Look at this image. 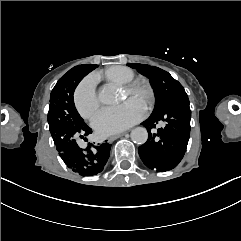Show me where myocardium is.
<instances>
[{
	"mask_svg": "<svg viewBox=\"0 0 241 241\" xmlns=\"http://www.w3.org/2000/svg\"><path fill=\"white\" fill-rule=\"evenodd\" d=\"M141 78H142V73H137V76H136V80H130L129 82H127L124 86L126 89L128 90H132L136 87L137 85V81H141Z\"/></svg>",
	"mask_w": 241,
	"mask_h": 241,
	"instance_id": "myocardium-1",
	"label": "myocardium"
}]
</instances>
